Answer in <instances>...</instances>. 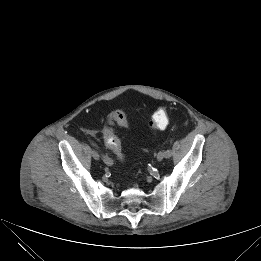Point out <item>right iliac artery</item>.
<instances>
[{"label": "right iliac artery", "mask_w": 261, "mask_h": 261, "mask_svg": "<svg viewBox=\"0 0 261 261\" xmlns=\"http://www.w3.org/2000/svg\"><path fill=\"white\" fill-rule=\"evenodd\" d=\"M91 145H92L93 147H95L97 150H99L98 146H97L94 142H91ZM99 152H100L101 158H102V160H103V162H104L105 164H107V165H112V164H113V160H112L109 156L105 155V154H104L103 152H101L100 150H99Z\"/></svg>", "instance_id": "1"}]
</instances>
